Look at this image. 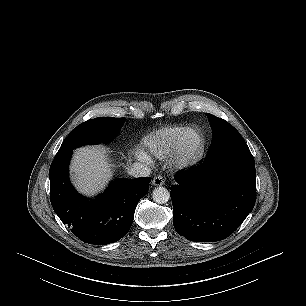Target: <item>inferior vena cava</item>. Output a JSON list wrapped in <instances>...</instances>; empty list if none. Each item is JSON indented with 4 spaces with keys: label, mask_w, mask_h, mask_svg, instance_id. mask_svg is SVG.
Returning a JSON list of instances; mask_svg holds the SVG:
<instances>
[{
    "label": "inferior vena cava",
    "mask_w": 306,
    "mask_h": 306,
    "mask_svg": "<svg viewBox=\"0 0 306 306\" xmlns=\"http://www.w3.org/2000/svg\"><path fill=\"white\" fill-rule=\"evenodd\" d=\"M151 173V170L148 166L135 162L128 169V174L133 177H147Z\"/></svg>",
    "instance_id": "obj_1"
}]
</instances>
